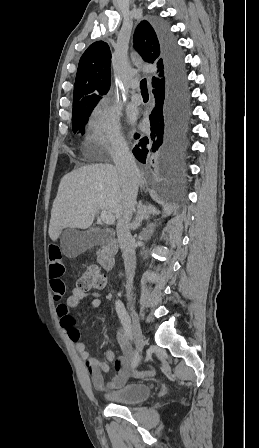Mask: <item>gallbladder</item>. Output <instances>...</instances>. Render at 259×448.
I'll use <instances>...</instances> for the list:
<instances>
[{
	"instance_id": "obj_1",
	"label": "gallbladder",
	"mask_w": 259,
	"mask_h": 448,
	"mask_svg": "<svg viewBox=\"0 0 259 448\" xmlns=\"http://www.w3.org/2000/svg\"><path fill=\"white\" fill-rule=\"evenodd\" d=\"M112 238V232L90 228L87 232L65 230L61 236V248L67 258H77L93 246H106Z\"/></svg>"
}]
</instances>
